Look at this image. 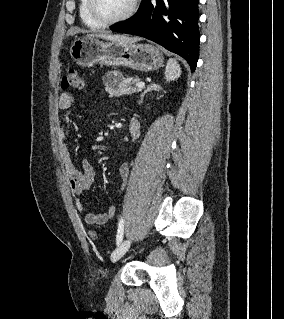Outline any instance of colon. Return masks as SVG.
<instances>
[{
	"instance_id": "1",
	"label": "colon",
	"mask_w": 284,
	"mask_h": 319,
	"mask_svg": "<svg viewBox=\"0 0 284 319\" xmlns=\"http://www.w3.org/2000/svg\"><path fill=\"white\" fill-rule=\"evenodd\" d=\"M83 85V81L80 73L74 68H66L62 80V87L64 89L68 88H81ZM89 237L92 240L97 239V234L95 231H89Z\"/></svg>"
}]
</instances>
